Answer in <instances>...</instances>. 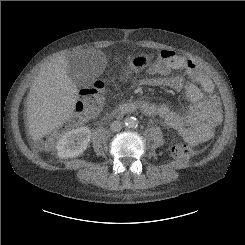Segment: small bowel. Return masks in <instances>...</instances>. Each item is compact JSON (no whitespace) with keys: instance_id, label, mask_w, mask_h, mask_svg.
I'll return each instance as SVG.
<instances>
[{"instance_id":"small-bowel-1","label":"small bowel","mask_w":245,"mask_h":245,"mask_svg":"<svg viewBox=\"0 0 245 245\" xmlns=\"http://www.w3.org/2000/svg\"><path fill=\"white\" fill-rule=\"evenodd\" d=\"M160 60L163 68L155 70L160 75L145 79V83L179 91L184 87L183 79L171 73L183 70L192 80V83L185 86L190 105L185 114H179L166 103H144L141 111L146 115L160 116L169 127L192 145L210 140L215 126L212 118L215 115L220 116L218 103L211 106L208 102L209 95L215 91L212 79L192 60L173 51H161Z\"/></svg>"}]
</instances>
